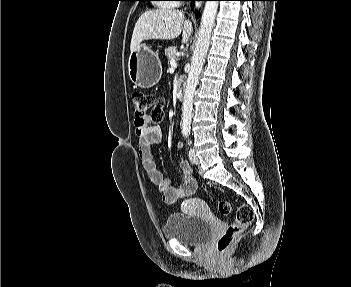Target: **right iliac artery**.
<instances>
[{"label":"right iliac artery","mask_w":351,"mask_h":287,"mask_svg":"<svg viewBox=\"0 0 351 287\" xmlns=\"http://www.w3.org/2000/svg\"><path fill=\"white\" fill-rule=\"evenodd\" d=\"M186 135H187V133H186V132H184V133H183V136H186Z\"/></svg>","instance_id":"82829eb1"}]
</instances>
